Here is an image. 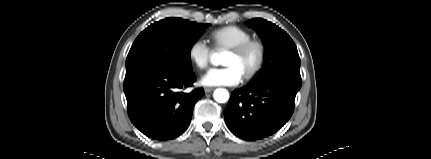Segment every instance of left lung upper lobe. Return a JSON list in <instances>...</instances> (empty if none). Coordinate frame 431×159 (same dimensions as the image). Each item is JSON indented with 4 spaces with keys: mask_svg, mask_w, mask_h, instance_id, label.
<instances>
[{
    "mask_svg": "<svg viewBox=\"0 0 431 159\" xmlns=\"http://www.w3.org/2000/svg\"><path fill=\"white\" fill-rule=\"evenodd\" d=\"M247 25L257 31L265 46L263 69L250 85L260 84L279 75L301 78L296 45L285 31L261 18L251 19Z\"/></svg>",
    "mask_w": 431,
    "mask_h": 159,
    "instance_id": "1",
    "label": "left lung upper lobe"
}]
</instances>
